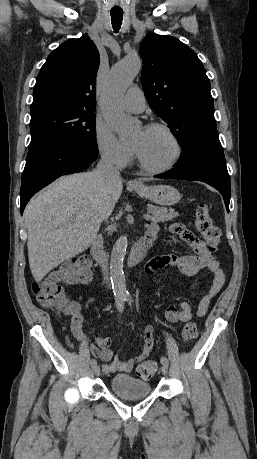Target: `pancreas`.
<instances>
[{"label": "pancreas", "instance_id": "pancreas-1", "mask_svg": "<svg viewBox=\"0 0 257 459\" xmlns=\"http://www.w3.org/2000/svg\"><path fill=\"white\" fill-rule=\"evenodd\" d=\"M147 211L152 214L151 219L154 222H165L178 216V213L173 210H168L166 207H158L151 204L147 205ZM108 230L110 232L116 230V225L109 226Z\"/></svg>", "mask_w": 257, "mask_h": 459}]
</instances>
